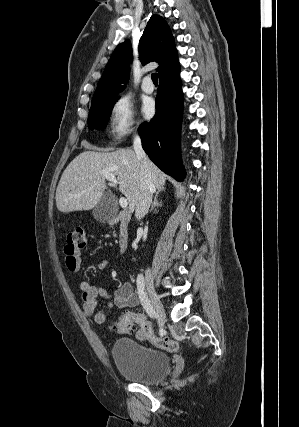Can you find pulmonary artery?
Segmentation results:
<instances>
[{
    "label": "pulmonary artery",
    "mask_w": 299,
    "mask_h": 427,
    "mask_svg": "<svg viewBox=\"0 0 299 427\" xmlns=\"http://www.w3.org/2000/svg\"><path fill=\"white\" fill-rule=\"evenodd\" d=\"M142 89L145 93H152L154 91V86L151 82L150 76H145L142 82Z\"/></svg>",
    "instance_id": "1"
}]
</instances>
